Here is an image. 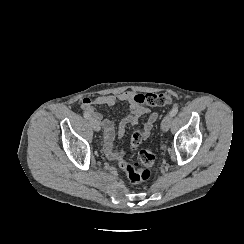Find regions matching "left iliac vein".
Instances as JSON below:
<instances>
[{
    "label": "left iliac vein",
    "mask_w": 244,
    "mask_h": 244,
    "mask_svg": "<svg viewBox=\"0 0 244 244\" xmlns=\"http://www.w3.org/2000/svg\"><path fill=\"white\" fill-rule=\"evenodd\" d=\"M172 120H173V116L170 115V114H167L163 120H162V123H161V129L163 132H167L169 130V127L172 123Z\"/></svg>",
    "instance_id": "1"
}]
</instances>
